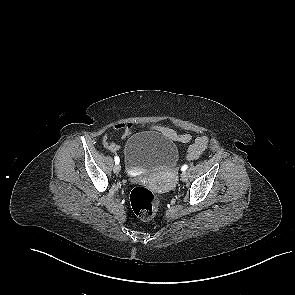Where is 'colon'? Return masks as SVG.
<instances>
[{
	"instance_id": "colon-1",
	"label": "colon",
	"mask_w": 295,
	"mask_h": 295,
	"mask_svg": "<svg viewBox=\"0 0 295 295\" xmlns=\"http://www.w3.org/2000/svg\"><path fill=\"white\" fill-rule=\"evenodd\" d=\"M130 204L138 218L149 220L157 212L159 200L149 189L139 186L132 189L130 193Z\"/></svg>"
}]
</instances>
